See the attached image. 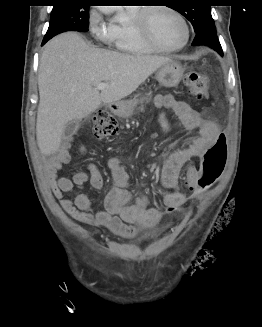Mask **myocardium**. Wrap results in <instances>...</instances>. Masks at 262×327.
I'll return each mask as SVG.
<instances>
[{
	"label": "myocardium",
	"mask_w": 262,
	"mask_h": 327,
	"mask_svg": "<svg viewBox=\"0 0 262 327\" xmlns=\"http://www.w3.org/2000/svg\"><path fill=\"white\" fill-rule=\"evenodd\" d=\"M156 10H166L174 14L183 24L185 28V39L183 43L177 47H165L161 45L153 36L151 29H150V14L153 11ZM134 25L138 31V33L141 35V37L144 39V41L154 48L155 50L159 52H166V53H171V52H177L182 50L184 47L187 46L189 40H190V27L189 24L186 20V18L183 16L181 12H179L177 9L174 7H171L169 5H153V6H148L142 8L138 14L136 15L134 19Z\"/></svg>",
	"instance_id": "1"
}]
</instances>
